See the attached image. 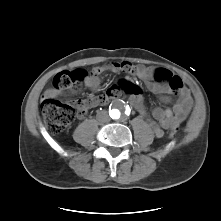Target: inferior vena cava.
<instances>
[{
	"label": "inferior vena cava",
	"mask_w": 221,
	"mask_h": 221,
	"mask_svg": "<svg viewBox=\"0 0 221 221\" xmlns=\"http://www.w3.org/2000/svg\"><path fill=\"white\" fill-rule=\"evenodd\" d=\"M97 119H98L99 121H101V122H104V123L110 121L109 115H108L106 112H104V111L99 112V113L97 114Z\"/></svg>",
	"instance_id": "inferior-vena-cava-1"
}]
</instances>
